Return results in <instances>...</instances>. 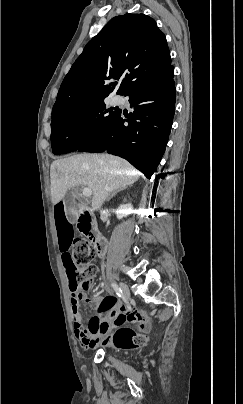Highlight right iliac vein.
Segmentation results:
<instances>
[{
    "instance_id": "1",
    "label": "right iliac vein",
    "mask_w": 243,
    "mask_h": 404,
    "mask_svg": "<svg viewBox=\"0 0 243 404\" xmlns=\"http://www.w3.org/2000/svg\"><path fill=\"white\" fill-rule=\"evenodd\" d=\"M119 285H120L125 297L127 299H129L130 298V290H129L128 286L123 282H120Z\"/></svg>"
}]
</instances>
